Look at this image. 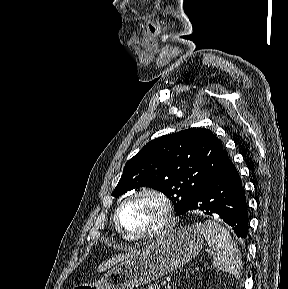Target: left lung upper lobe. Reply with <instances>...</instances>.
Returning a JSON list of instances; mask_svg holds the SVG:
<instances>
[{
  "label": "left lung upper lobe",
  "instance_id": "obj_1",
  "mask_svg": "<svg viewBox=\"0 0 288 289\" xmlns=\"http://www.w3.org/2000/svg\"><path fill=\"white\" fill-rule=\"evenodd\" d=\"M227 159L222 141L208 129L168 134L147 143L126 163L113 196L148 186L165 194L181 215Z\"/></svg>",
  "mask_w": 288,
  "mask_h": 289
}]
</instances>
